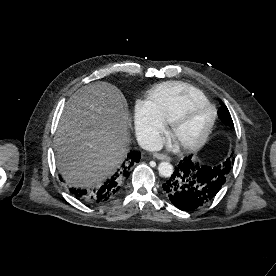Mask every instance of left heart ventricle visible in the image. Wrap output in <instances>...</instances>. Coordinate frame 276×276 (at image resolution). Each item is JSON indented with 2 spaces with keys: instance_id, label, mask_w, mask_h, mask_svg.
<instances>
[{
  "instance_id": "obj_1",
  "label": "left heart ventricle",
  "mask_w": 276,
  "mask_h": 276,
  "mask_svg": "<svg viewBox=\"0 0 276 276\" xmlns=\"http://www.w3.org/2000/svg\"><path fill=\"white\" fill-rule=\"evenodd\" d=\"M211 117L212 110L207 105L193 106L176 131L177 142L183 143L198 138L208 126Z\"/></svg>"
}]
</instances>
